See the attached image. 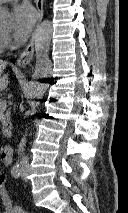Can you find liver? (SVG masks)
<instances>
[{
	"instance_id": "obj_1",
	"label": "liver",
	"mask_w": 128,
	"mask_h": 213,
	"mask_svg": "<svg viewBox=\"0 0 128 213\" xmlns=\"http://www.w3.org/2000/svg\"><path fill=\"white\" fill-rule=\"evenodd\" d=\"M7 62L0 60V92L3 91L8 83H9V79H8V74L3 75V70L6 68Z\"/></svg>"
}]
</instances>
